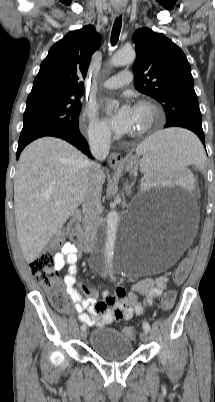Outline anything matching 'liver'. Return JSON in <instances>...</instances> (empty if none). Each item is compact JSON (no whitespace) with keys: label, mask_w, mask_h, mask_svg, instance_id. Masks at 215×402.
<instances>
[{"label":"liver","mask_w":215,"mask_h":402,"mask_svg":"<svg viewBox=\"0 0 215 402\" xmlns=\"http://www.w3.org/2000/svg\"><path fill=\"white\" fill-rule=\"evenodd\" d=\"M90 161L58 138H39L22 151L14 180L19 245L32 263L84 201ZM105 181L100 173L101 186Z\"/></svg>","instance_id":"1"}]
</instances>
